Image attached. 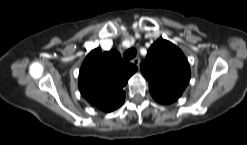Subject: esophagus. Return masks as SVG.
<instances>
[{
	"mask_svg": "<svg viewBox=\"0 0 247 145\" xmlns=\"http://www.w3.org/2000/svg\"><path fill=\"white\" fill-rule=\"evenodd\" d=\"M131 62H132L134 65L139 66V64H140V59H139V57H135Z\"/></svg>",
	"mask_w": 247,
	"mask_h": 145,
	"instance_id": "esophagus-1",
	"label": "esophagus"
}]
</instances>
